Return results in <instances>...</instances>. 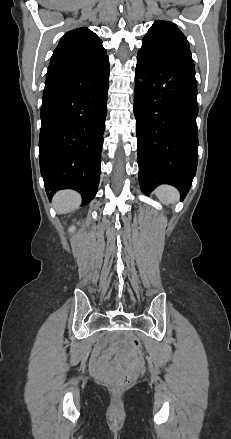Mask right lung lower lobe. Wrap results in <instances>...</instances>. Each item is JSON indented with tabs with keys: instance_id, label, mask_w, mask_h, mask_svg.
I'll list each match as a JSON object with an SVG mask.
<instances>
[{
	"instance_id": "right-lung-lower-lobe-1",
	"label": "right lung lower lobe",
	"mask_w": 231,
	"mask_h": 439,
	"mask_svg": "<svg viewBox=\"0 0 231 439\" xmlns=\"http://www.w3.org/2000/svg\"><path fill=\"white\" fill-rule=\"evenodd\" d=\"M109 72L107 57L86 72L46 81L39 160L50 199L60 189H74L86 205L97 193Z\"/></svg>"
}]
</instances>
